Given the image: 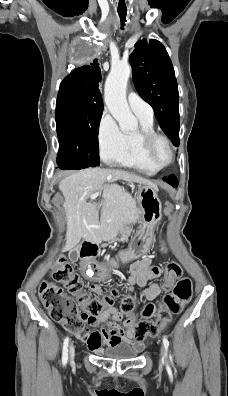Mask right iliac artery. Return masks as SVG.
Listing matches in <instances>:
<instances>
[{
	"label": "right iliac artery",
	"instance_id": "obj_1",
	"mask_svg": "<svg viewBox=\"0 0 228 396\" xmlns=\"http://www.w3.org/2000/svg\"><path fill=\"white\" fill-rule=\"evenodd\" d=\"M68 344L69 337H66L63 343V351H62V364L66 365L68 361Z\"/></svg>",
	"mask_w": 228,
	"mask_h": 396
}]
</instances>
